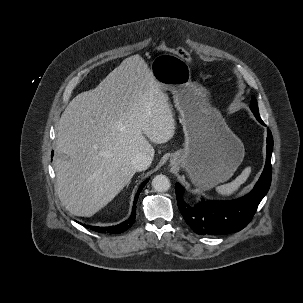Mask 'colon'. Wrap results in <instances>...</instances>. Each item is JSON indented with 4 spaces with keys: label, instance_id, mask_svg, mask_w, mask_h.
Listing matches in <instances>:
<instances>
[{
    "label": "colon",
    "instance_id": "colon-1",
    "mask_svg": "<svg viewBox=\"0 0 303 303\" xmlns=\"http://www.w3.org/2000/svg\"><path fill=\"white\" fill-rule=\"evenodd\" d=\"M158 50H160L161 52H169V53H173L177 56H179L180 58H182L185 61H190V55L188 54L187 51L180 49V48H173L168 46L165 42H160V44L158 45Z\"/></svg>",
    "mask_w": 303,
    "mask_h": 303
}]
</instances>
